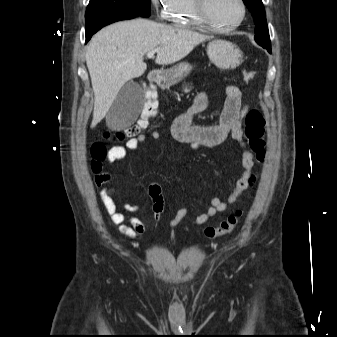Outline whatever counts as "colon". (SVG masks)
I'll return each instance as SVG.
<instances>
[{
	"label": "colon",
	"instance_id": "5ec220e1",
	"mask_svg": "<svg viewBox=\"0 0 337 337\" xmlns=\"http://www.w3.org/2000/svg\"><path fill=\"white\" fill-rule=\"evenodd\" d=\"M256 73L253 70H244L243 78L247 83L254 81ZM142 101L143 110L140 119L133 125L125 128L124 130L107 133L106 137L123 140L125 138H133L140 134L149 123V119L154 118L155 113H157V91H142ZM265 133V119L259 108L250 109L245 116V137L248 140L249 147L256 155L258 161H263L266 155V142L264 138ZM165 151L171 150L170 144L164 145ZM106 147L100 142L96 141L91 147V157H92V168L94 171H99L101 168V161L106 156ZM172 156L178 155L177 149L171 150ZM255 182V177L250 178V184ZM242 217V211L237 210L234 214L230 215L226 220L221 222L216 227H207L204 230V235L209 239H215L221 236L228 235L234 231L237 227L240 219Z\"/></svg>",
	"mask_w": 337,
	"mask_h": 337
}]
</instances>
